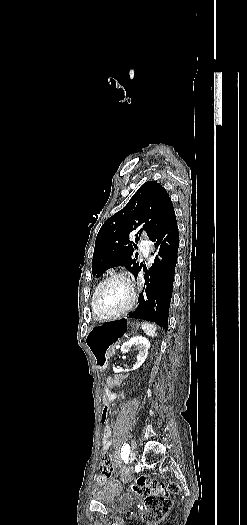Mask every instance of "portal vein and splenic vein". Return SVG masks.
<instances>
[{
  "label": "portal vein and splenic vein",
  "instance_id": "portal-vein-and-splenic-vein-1",
  "mask_svg": "<svg viewBox=\"0 0 247 525\" xmlns=\"http://www.w3.org/2000/svg\"><path fill=\"white\" fill-rule=\"evenodd\" d=\"M120 346H121V343H118V345H115L114 350H119Z\"/></svg>",
  "mask_w": 247,
  "mask_h": 525
}]
</instances>
